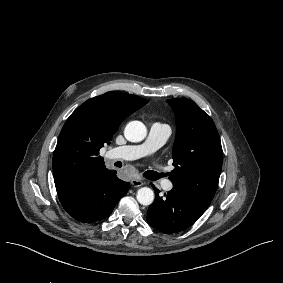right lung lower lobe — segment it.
I'll use <instances>...</instances> for the list:
<instances>
[{"instance_id":"98d812e1","label":"right lung lower lobe","mask_w":283,"mask_h":283,"mask_svg":"<svg viewBox=\"0 0 283 283\" xmlns=\"http://www.w3.org/2000/svg\"><path fill=\"white\" fill-rule=\"evenodd\" d=\"M129 187L128 182L117 178L114 170L106 169L83 189L59 199L74 219L91 223L108 217Z\"/></svg>"}]
</instances>
